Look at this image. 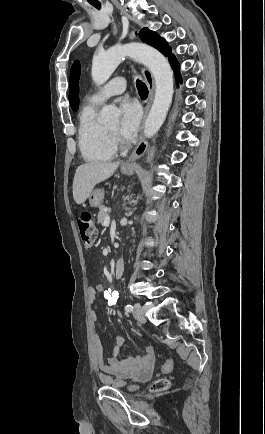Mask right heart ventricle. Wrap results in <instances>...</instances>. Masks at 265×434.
Listing matches in <instances>:
<instances>
[{
    "label": "right heart ventricle",
    "instance_id": "e07e8e85",
    "mask_svg": "<svg viewBox=\"0 0 265 434\" xmlns=\"http://www.w3.org/2000/svg\"><path fill=\"white\" fill-rule=\"evenodd\" d=\"M98 105L91 99L84 102L77 113L79 148L84 160L90 164L111 161L116 155L108 128L97 120Z\"/></svg>",
    "mask_w": 265,
    "mask_h": 434
}]
</instances>
